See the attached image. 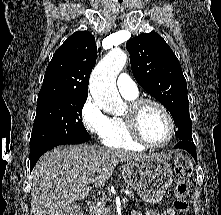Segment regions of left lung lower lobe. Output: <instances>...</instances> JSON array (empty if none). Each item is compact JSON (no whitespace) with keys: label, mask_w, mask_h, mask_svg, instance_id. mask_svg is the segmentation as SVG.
I'll list each match as a JSON object with an SVG mask.
<instances>
[{"label":"left lung lower lobe","mask_w":221,"mask_h":215,"mask_svg":"<svg viewBox=\"0 0 221 215\" xmlns=\"http://www.w3.org/2000/svg\"><path fill=\"white\" fill-rule=\"evenodd\" d=\"M191 141L192 140H182L175 145V148H180V149H184L188 151L193 156V158L197 160L196 148H195L194 143Z\"/></svg>","instance_id":"obj_1"}]
</instances>
